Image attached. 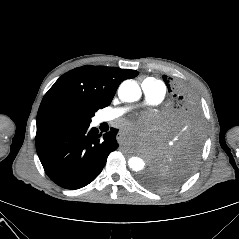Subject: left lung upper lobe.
<instances>
[{"instance_id": "obj_1", "label": "left lung upper lobe", "mask_w": 239, "mask_h": 239, "mask_svg": "<svg viewBox=\"0 0 239 239\" xmlns=\"http://www.w3.org/2000/svg\"><path fill=\"white\" fill-rule=\"evenodd\" d=\"M170 93L169 136L141 182L155 191H169L182 184L195 169L203 148L201 105L185 83L163 75Z\"/></svg>"}]
</instances>
